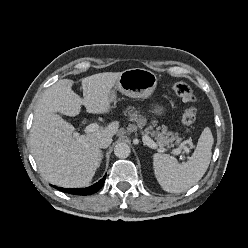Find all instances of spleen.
I'll use <instances>...</instances> for the list:
<instances>
[{
  "label": "spleen",
  "mask_w": 248,
  "mask_h": 248,
  "mask_svg": "<svg viewBox=\"0 0 248 248\" xmlns=\"http://www.w3.org/2000/svg\"><path fill=\"white\" fill-rule=\"evenodd\" d=\"M213 136L210 128L202 131L197 147L183 164L167 154L153 156L154 174L163 190L181 193L194 186L205 174L212 156Z\"/></svg>",
  "instance_id": "1"
}]
</instances>
